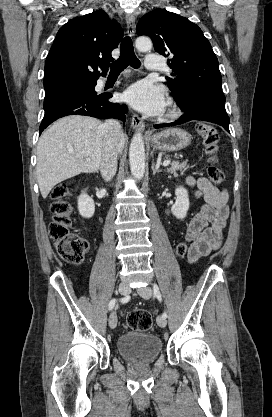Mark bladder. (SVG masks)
<instances>
[{"label": "bladder", "instance_id": "31cf9c89", "mask_svg": "<svg viewBox=\"0 0 272 417\" xmlns=\"http://www.w3.org/2000/svg\"><path fill=\"white\" fill-rule=\"evenodd\" d=\"M117 350L130 363L146 364L160 355L162 342L153 334L131 331L119 337Z\"/></svg>", "mask_w": 272, "mask_h": 417}]
</instances>
